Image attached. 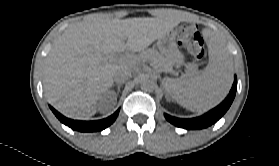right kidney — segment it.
<instances>
[{
  "label": "right kidney",
  "instance_id": "right-kidney-1",
  "mask_svg": "<svg viewBox=\"0 0 279 166\" xmlns=\"http://www.w3.org/2000/svg\"><path fill=\"white\" fill-rule=\"evenodd\" d=\"M116 100H117V98H116V96L114 95V96L112 97V102H111V104H115V103H116Z\"/></svg>",
  "mask_w": 279,
  "mask_h": 166
}]
</instances>
